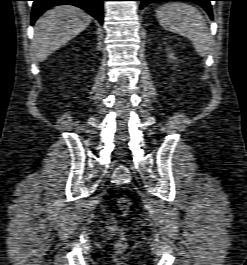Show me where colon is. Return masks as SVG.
<instances>
[{"label":"colon","instance_id":"obj_1","mask_svg":"<svg viewBox=\"0 0 247 265\" xmlns=\"http://www.w3.org/2000/svg\"><path fill=\"white\" fill-rule=\"evenodd\" d=\"M131 205L132 203L130 198L125 195L119 197L117 201L118 209L123 215L128 214V212L131 209ZM126 246H127V238L125 235H122L116 242L115 248L117 251L121 252L126 248Z\"/></svg>","mask_w":247,"mask_h":265}]
</instances>
